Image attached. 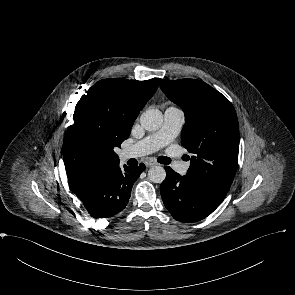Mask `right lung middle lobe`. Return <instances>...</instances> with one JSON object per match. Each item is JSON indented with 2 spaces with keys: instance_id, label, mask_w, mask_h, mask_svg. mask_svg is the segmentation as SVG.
<instances>
[{
  "instance_id": "obj_1",
  "label": "right lung middle lobe",
  "mask_w": 295,
  "mask_h": 295,
  "mask_svg": "<svg viewBox=\"0 0 295 295\" xmlns=\"http://www.w3.org/2000/svg\"><path fill=\"white\" fill-rule=\"evenodd\" d=\"M139 111L125 94L122 78L103 79L77 103L70 128L78 137L113 153L129 137Z\"/></svg>"
}]
</instances>
